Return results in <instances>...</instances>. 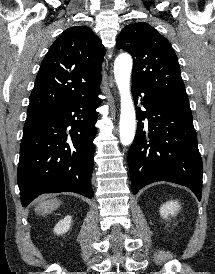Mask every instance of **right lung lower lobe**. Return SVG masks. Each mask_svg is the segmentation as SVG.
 I'll return each instance as SVG.
<instances>
[{
    "label": "right lung lower lobe",
    "mask_w": 215,
    "mask_h": 274,
    "mask_svg": "<svg viewBox=\"0 0 215 274\" xmlns=\"http://www.w3.org/2000/svg\"><path fill=\"white\" fill-rule=\"evenodd\" d=\"M99 83L24 129L17 172L22 206L42 193L70 191L93 197Z\"/></svg>",
    "instance_id": "1"
}]
</instances>
